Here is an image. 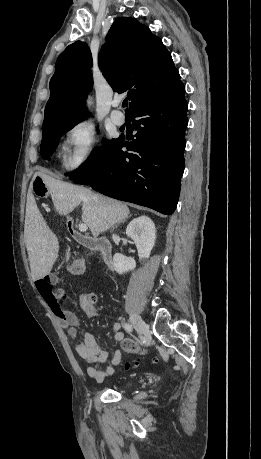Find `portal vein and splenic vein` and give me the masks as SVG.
<instances>
[{
	"instance_id": "portal-vein-and-splenic-vein-1",
	"label": "portal vein and splenic vein",
	"mask_w": 261,
	"mask_h": 459,
	"mask_svg": "<svg viewBox=\"0 0 261 459\" xmlns=\"http://www.w3.org/2000/svg\"><path fill=\"white\" fill-rule=\"evenodd\" d=\"M87 229H88V227H87L86 224H83V223L79 224V230L81 232H85V231H87Z\"/></svg>"
}]
</instances>
